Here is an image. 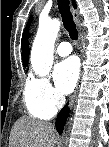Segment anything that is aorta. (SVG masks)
I'll return each mask as SVG.
<instances>
[{
  "label": "aorta",
  "mask_w": 109,
  "mask_h": 147,
  "mask_svg": "<svg viewBox=\"0 0 109 147\" xmlns=\"http://www.w3.org/2000/svg\"><path fill=\"white\" fill-rule=\"evenodd\" d=\"M60 29L58 19L39 22V28L31 50V66L39 76L49 74L53 64L54 43Z\"/></svg>",
  "instance_id": "1"
}]
</instances>
